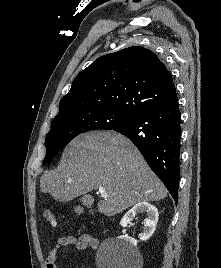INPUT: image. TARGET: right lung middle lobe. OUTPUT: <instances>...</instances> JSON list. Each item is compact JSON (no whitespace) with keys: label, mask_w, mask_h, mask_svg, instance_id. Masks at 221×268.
<instances>
[{"label":"right lung middle lobe","mask_w":221,"mask_h":268,"mask_svg":"<svg viewBox=\"0 0 221 268\" xmlns=\"http://www.w3.org/2000/svg\"><path fill=\"white\" fill-rule=\"evenodd\" d=\"M130 119L125 114L110 110H92L56 116L52 120L51 131L46 136L47 153L44 163L51 161L56 153L77 135L91 130L113 129Z\"/></svg>","instance_id":"obj_1"}]
</instances>
